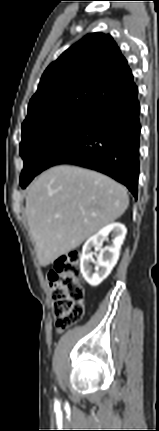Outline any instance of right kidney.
Returning <instances> with one entry per match:
<instances>
[{"label": "right kidney", "mask_w": 159, "mask_h": 431, "mask_svg": "<svg viewBox=\"0 0 159 431\" xmlns=\"http://www.w3.org/2000/svg\"><path fill=\"white\" fill-rule=\"evenodd\" d=\"M126 233L127 230L123 224L112 223L102 228L85 242L80 259V270L89 285L98 286L111 273L119 259L121 245ZM109 235L112 237L110 245L102 247L103 242L108 241ZM93 248L100 251L95 272L92 271L90 264L94 255Z\"/></svg>", "instance_id": "ca27d5eb"}]
</instances>
